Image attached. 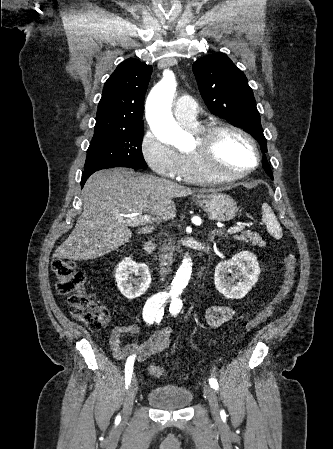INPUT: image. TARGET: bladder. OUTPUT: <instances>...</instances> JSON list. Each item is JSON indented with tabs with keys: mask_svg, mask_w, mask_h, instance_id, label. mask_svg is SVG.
I'll return each instance as SVG.
<instances>
[{
	"mask_svg": "<svg viewBox=\"0 0 333 449\" xmlns=\"http://www.w3.org/2000/svg\"><path fill=\"white\" fill-rule=\"evenodd\" d=\"M193 400V394L185 386L165 384L150 389L147 402L161 410H179L188 407Z\"/></svg>",
	"mask_w": 333,
	"mask_h": 449,
	"instance_id": "1",
	"label": "bladder"
}]
</instances>
